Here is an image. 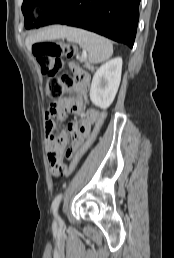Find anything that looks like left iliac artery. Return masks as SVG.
Listing matches in <instances>:
<instances>
[{"label": "left iliac artery", "instance_id": "44dca946", "mask_svg": "<svg viewBox=\"0 0 174 258\" xmlns=\"http://www.w3.org/2000/svg\"><path fill=\"white\" fill-rule=\"evenodd\" d=\"M62 196H63L62 193L58 194V195L55 197V199L53 200V202H52L51 209H52L53 214H54L55 216H57V210H58L60 201H61V199H62Z\"/></svg>", "mask_w": 174, "mask_h": 258}]
</instances>
